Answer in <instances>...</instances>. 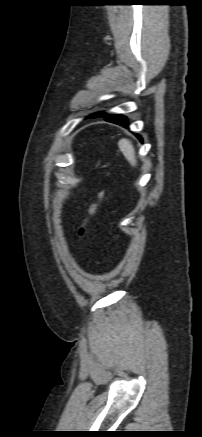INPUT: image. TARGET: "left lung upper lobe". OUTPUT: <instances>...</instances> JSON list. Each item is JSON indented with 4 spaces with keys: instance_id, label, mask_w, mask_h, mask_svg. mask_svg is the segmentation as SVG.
Masks as SVG:
<instances>
[{
    "instance_id": "obj_1",
    "label": "left lung upper lobe",
    "mask_w": 202,
    "mask_h": 437,
    "mask_svg": "<svg viewBox=\"0 0 202 437\" xmlns=\"http://www.w3.org/2000/svg\"><path fill=\"white\" fill-rule=\"evenodd\" d=\"M106 114L105 113H96V114H93V115H91L90 117H103V116H105Z\"/></svg>"
}]
</instances>
